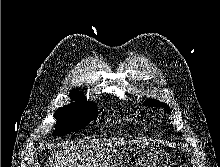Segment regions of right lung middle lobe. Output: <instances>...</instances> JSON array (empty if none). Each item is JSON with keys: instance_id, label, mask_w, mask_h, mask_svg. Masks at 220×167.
I'll use <instances>...</instances> for the list:
<instances>
[{"instance_id": "obj_1", "label": "right lung middle lobe", "mask_w": 220, "mask_h": 167, "mask_svg": "<svg viewBox=\"0 0 220 167\" xmlns=\"http://www.w3.org/2000/svg\"><path fill=\"white\" fill-rule=\"evenodd\" d=\"M97 116L95 105L89 101L71 103L59 108L54 117L57 119L53 135L68 134L84 128Z\"/></svg>"}]
</instances>
